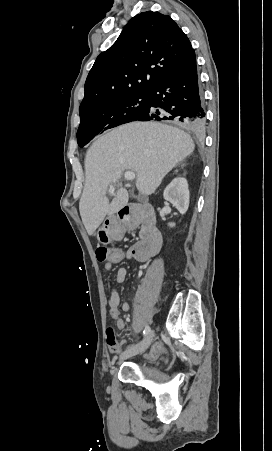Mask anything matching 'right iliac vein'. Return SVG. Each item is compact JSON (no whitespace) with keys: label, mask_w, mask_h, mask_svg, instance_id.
Listing matches in <instances>:
<instances>
[{"label":"right iliac vein","mask_w":272,"mask_h":451,"mask_svg":"<svg viewBox=\"0 0 272 451\" xmlns=\"http://www.w3.org/2000/svg\"><path fill=\"white\" fill-rule=\"evenodd\" d=\"M153 336H154V331L151 330L142 341H140L135 346L125 350L120 357V361H123L127 358H130L132 356H135V355H138V354L144 352L151 344Z\"/></svg>","instance_id":"63e3f726"}]
</instances>
